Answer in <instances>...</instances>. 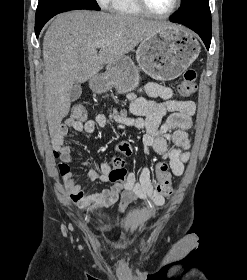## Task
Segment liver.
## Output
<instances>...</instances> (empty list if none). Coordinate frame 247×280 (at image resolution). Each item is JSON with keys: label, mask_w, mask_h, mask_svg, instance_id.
I'll list each match as a JSON object with an SVG mask.
<instances>
[{"label": "liver", "mask_w": 247, "mask_h": 280, "mask_svg": "<svg viewBox=\"0 0 247 280\" xmlns=\"http://www.w3.org/2000/svg\"><path fill=\"white\" fill-rule=\"evenodd\" d=\"M168 22L133 16L76 10L58 15L43 40L45 111L50 134L69 113L75 83L94 77L104 64L125 56ZM101 43L99 53L97 44Z\"/></svg>", "instance_id": "6515ba94"}]
</instances>
